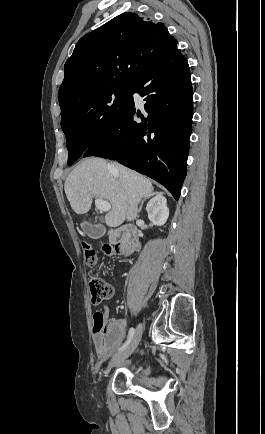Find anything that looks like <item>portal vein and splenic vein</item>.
I'll use <instances>...</instances> for the list:
<instances>
[{
	"instance_id": "portal-vein-and-splenic-vein-1",
	"label": "portal vein and splenic vein",
	"mask_w": 265,
	"mask_h": 434,
	"mask_svg": "<svg viewBox=\"0 0 265 434\" xmlns=\"http://www.w3.org/2000/svg\"><path fill=\"white\" fill-rule=\"evenodd\" d=\"M95 206L97 210H101V212H109V210H111V206L106 200H95Z\"/></svg>"
}]
</instances>
